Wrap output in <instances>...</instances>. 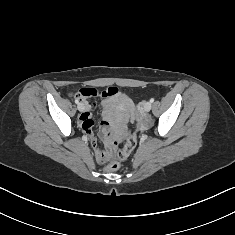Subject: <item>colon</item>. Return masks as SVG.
<instances>
[{
  "mask_svg": "<svg viewBox=\"0 0 235 235\" xmlns=\"http://www.w3.org/2000/svg\"><path fill=\"white\" fill-rule=\"evenodd\" d=\"M112 94H113L112 87L106 88L104 90L91 89L86 92L87 96H99V97H105ZM136 138H137L136 132L130 134L125 142V145L119 150L115 149V146L118 143L117 140H112L107 150H101L99 147L96 146V156L98 161L107 162L106 170L109 171L115 170L119 165L118 160H125L134 150L136 146Z\"/></svg>",
  "mask_w": 235,
  "mask_h": 235,
  "instance_id": "obj_1",
  "label": "colon"
}]
</instances>
